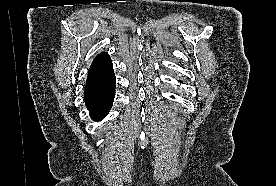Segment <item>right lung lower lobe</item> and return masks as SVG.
<instances>
[{
  "instance_id": "98d812e1",
  "label": "right lung lower lobe",
  "mask_w": 276,
  "mask_h": 186,
  "mask_svg": "<svg viewBox=\"0 0 276 186\" xmlns=\"http://www.w3.org/2000/svg\"><path fill=\"white\" fill-rule=\"evenodd\" d=\"M115 97V75L107 80L86 84L84 101L94 120H102Z\"/></svg>"
}]
</instances>
